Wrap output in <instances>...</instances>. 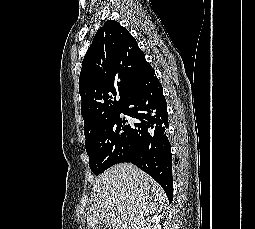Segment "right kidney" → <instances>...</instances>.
<instances>
[{
    "label": "right kidney",
    "instance_id": "ca27d5eb",
    "mask_svg": "<svg viewBox=\"0 0 255 229\" xmlns=\"http://www.w3.org/2000/svg\"><path fill=\"white\" fill-rule=\"evenodd\" d=\"M160 214H155L151 217L142 220L136 229H161Z\"/></svg>",
    "mask_w": 255,
    "mask_h": 229
}]
</instances>
